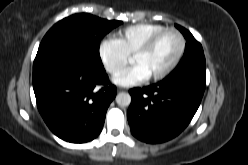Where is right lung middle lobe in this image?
Instances as JSON below:
<instances>
[{
  "mask_svg": "<svg viewBox=\"0 0 248 165\" xmlns=\"http://www.w3.org/2000/svg\"><path fill=\"white\" fill-rule=\"evenodd\" d=\"M121 23L86 13L74 14L57 22L46 33L37 54L64 46L78 47L87 53L96 66L103 68L99 55L100 40Z\"/></svg>",
  "mask_w": 248,
  "mask_h": 165,
  "instance_id": "right-lung-middle-lobe-1",
  "label": "right lung middle lobe"
}]
</instances>
